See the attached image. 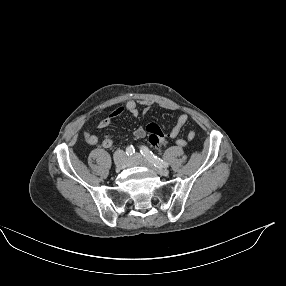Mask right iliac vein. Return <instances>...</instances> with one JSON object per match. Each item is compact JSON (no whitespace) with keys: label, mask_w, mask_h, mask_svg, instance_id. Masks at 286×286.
<instances>
[{"label":"right iliac vein","mask_w":286,"mask_h":286,"mask_svg":"<svg viewBox=\"0 0 286 286\" xmlns=\"http://www.w3.org/2000/svg\"><path fill=\"white\" fill-rule=\"evenodd\" d=\"M129 164V160L125 154L120 153L118 154L117 158L115 159V166L118 170H122L126 168Z\"/></svg>","instance_id":"obj_1"}]
</instances>
